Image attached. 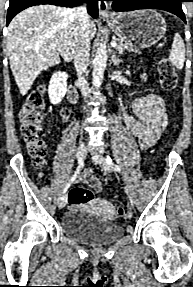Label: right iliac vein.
<instances>
[{
    "label": "right iliac vein",
    "mask_w": 193,
    "mask_h": 287,
    "mask_svg": "<svg viewBox=\"0 0 193 287\" xmlns=\"http://www.w3.org/2000/svg\"><path fill=\"white\" fill-rule=\"evenodd\" d=\"M86 151H87V147L85 145V143H81L77 149V158L79 159H84L85 155H86ZM67 203V194H64L58 202V207L59 209H62L65 207Z\"/></svg>",
    "instance_id": "63e3f726"
}]
</instances>
